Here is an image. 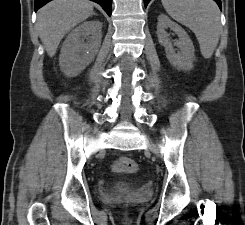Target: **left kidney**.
<instances>
[{
  "mask_svg": "<svg viewBox=\"0 0 245 225\" xmlns=\"http://www.w3.org/2000/svg\"><path fill=\"white\" fill-rule=\"evenodd\" d=\"M166 28H170L178 35L179 39L174 41V45L180 49V53H175L172 41L165 31ZM157 36L159 43L165 48L167 59L174 67L179 70H191L193 68L195 49L190 37L180 25L171 21L166 15L160 14L157 24Z\"/></svg>",
  "mask_w": 245,
  "mask_h": 225,
  "instance_id": "left-kidney-1",
  "label": "left kidney"
}]
</instances>
